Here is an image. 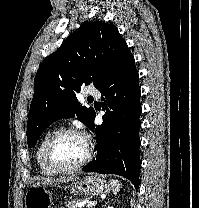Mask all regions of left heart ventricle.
<instances>
[{
    "label": "left heart ventricle",
    "instance_id": "left-heart-ventricle-1",
    "mask_svg": "<svg viewBox=\"0 0 199 208\" xmlns=\"http://www.w3.org/2000/svg\"><path fill=\"white\" fill-rule=\"evenodd\" d=\"M85 155V143L77 135L63 136L53 148V159L62 167H70L79 163Z\"/></svg>",
    "mask_w": 199,
    "mask_h": 208
}]
</instances>
